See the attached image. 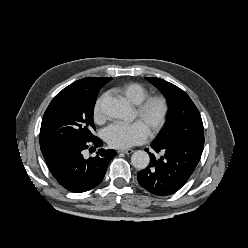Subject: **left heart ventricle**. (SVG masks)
<instances>
[{
	"mask_svg": "<svg viewBox=\"0 0 248 248\" xmlns=\"http://www.w3.org/2000/svg\"><path fill=\"white\" fill-rule=\"evenodd\" d=\"M159 108L158 106H153V108L151 109L150 112V117L154 118L157 114H158ZM142 120V119H141ZM144 122V124L147 126L148 128V121L147 120H142Z\"/></svg>",
	"mask_w": 248,
	"mask_h": 248,
	"instance_id": "1",
	"label": "left heart ventricle"
}]
</instances>
